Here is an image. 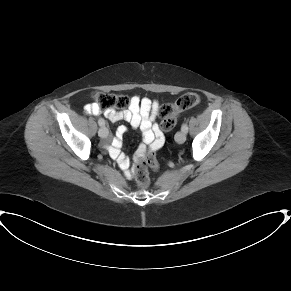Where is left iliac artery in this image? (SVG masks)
I'll return each instance as SVG.
<instances>
[{"label": "left iliac artery", "mask_w": 291, "mask_h": 291, "mask_svg": "<svg viewBox=\"0 0 291 291\" xmlns=\"http://www.w3.org/2000/svg\"><path fill=\"white\" fill-rule=\"evenodd\" d=\"M181 130H182L183 132H185V133L188 132V126H187L186 123H184V124L182 125Z\"/></svg>", "instance_id": "left-iliac-artery-1"}]
</instances>
